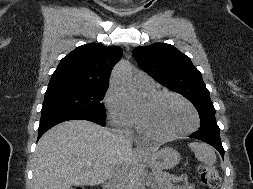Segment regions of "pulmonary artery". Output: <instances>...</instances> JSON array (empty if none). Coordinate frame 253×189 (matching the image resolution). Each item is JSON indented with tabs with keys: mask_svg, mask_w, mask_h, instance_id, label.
<instances>
[{
	"mask_svg": "<svg viewBox=\"0 0 253 189\" xmlns=\"http://www.w3.org/2000/svg\"><path fill=\"white\" fill-rule=\"evenodd\" d=\"M136 85L140 90L144 92H148L154 89L153 80L146 75H142L139 78H137Z\"/></svg>",
	"mask_w": 253,
	"mask_h": 189,
	"instance_id": "pulmonary-artery-1",
	"label": "pulmonary artery"
}]
</instances>
